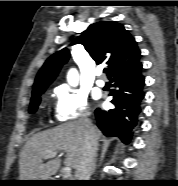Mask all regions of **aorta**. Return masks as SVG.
<instances>
[{
    "mask_svg": "<svg viewBox=\"0 0 178 186\" xmlns=\"http://www.w3.org/2000/svg\"><path fill=\"white\" fill-rule=\"evenodd\" d=\"M78 71L76 69H71L67 74L68 83L72 86H76L78 84Z\"/></svg>",
    "mask_w": 178,
    "mask_h": 186,
    "instance_id": "762f6f07",
    "label": "aorta"
}]
</instances>
